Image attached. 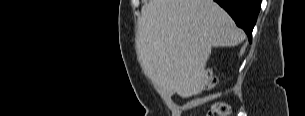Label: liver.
Listing matches in <instances>:
<instances>
[{"instance_id":"liver-1","label":"liver","mask_w":305,"mask_h":116,"mask_svg":"<svg viewBox=\"0 0 305 116\" xmlns=\"http://www.w3.org/2000/svg\"><path fill=\"white\" fill-rule=\"evenodd\" d=\"M244 39L213 0H149L138 20L136 50L157 86L187 98L204 88L211 48L234 47Z\"/></svg>"}]
</instances>
